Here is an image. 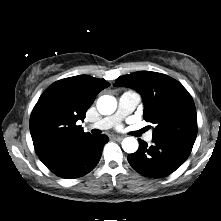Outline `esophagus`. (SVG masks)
Returning a JSON list of instances; mask_svg holds the SVG:
<instances>
[{
    "instance_id": "34e87169",
    "label": "esophagus",
    "mask_w": 221,
    "mask_h": 221,
    "mask_svg": "<svg viewBox=\"0 0 221 221\" xmlns=\"http://www.w3.org/2000/svg\"><path fill=\"white\" fill-rule=\"evenodd\" d=\"M113 139H115L117 141H121L123 139V136L115 135V136H113Z\"/></svg>"
}]
</instances>
